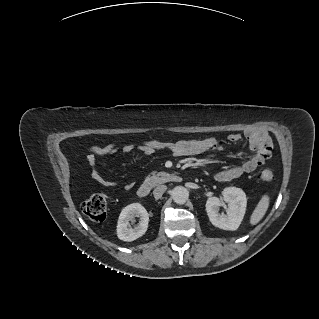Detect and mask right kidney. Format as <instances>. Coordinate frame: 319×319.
<instances>
[{
  "label": "right kidney",
  "mask_w": 319,
  "mask_h": 319,
  "mask_svg": "<svg viewBox=\"0 0 319 319\" xmlns=\"http://www.w3.org/2000/svg\"><path fill=\"white\" fill-rule=\"evenodd\" d=\"M135 216L140 217V222L134 228L129 226L130 221H134ZM149 215L140 203H132L122 209L118 223L117 236L123 241H134L143 236L148 228Z\"/></svg>",
  "instance_id": "ca27d5eb"
}]
</instances>
